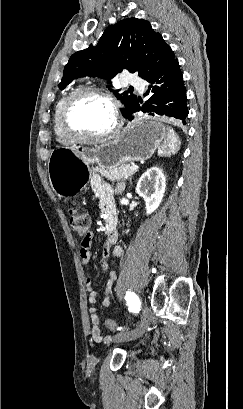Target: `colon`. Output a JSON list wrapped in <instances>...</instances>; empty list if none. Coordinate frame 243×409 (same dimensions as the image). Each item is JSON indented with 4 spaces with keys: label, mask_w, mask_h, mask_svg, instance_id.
<instances>
[{
    "label": "colon",
    "mask_w": 243,
    "mask_h": 409,
    "mask_svg": "<svg viewBox=\"0 0 243 409\" xmlns=\"http://www.w3.org/2000/svg\"><path fill=\"white\" fill-rule=\"evenodd\" d=\"M69 215L71 226L73 227L74 231L77 233V235L83 237L84 239L87 236V231L90 224L89 216L78 208L71 209ZM105 326L113 332H115L117 328L116 322L110 319L105 321Z\"/></svg>",
    "instance_id": "5ec220e1"
}]
</instances>
